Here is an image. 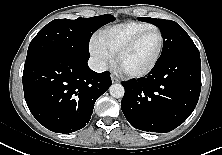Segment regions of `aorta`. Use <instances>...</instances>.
I'll use <instances>...</instances> for the list:
<instances>
[{"label": "aorta", "instance_id": "aorta-1", "mask_svg": "<svg viewBox=\"0 0 222 155\" xmlns=\"http://www.w3.org/2000/svg\"><path fill=\"white\" fill-rule=\"evenodd\" d=\"M110 95L114 98H122L124 96L125 90L121 84H113L109 88Z\"/></svg>", "mask_w": 222, "mask_h": 155}]
</instances>
